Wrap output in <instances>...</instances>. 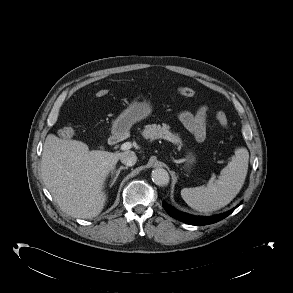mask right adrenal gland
Masks as SVG:
<instances>
[{"mask_svg": "<svg viewBox=\"0 0 293 293\" xmlns=\"http://www.w3.org/2000/svg\"><path fill=\"white\" fill-rule=\"evenodd\" d=\"M123 169H128V167L127 166H120L118 170L114 171L115 176L113 177L110 186H113L115 184V182H116L121 170H123ZM114 173L112 172V174H114Z\"/></svg>", "mask_w": 293, "mask_h": 293, "instance_id": "obj_1", "label": "right adrenal gland"}]
</instances>
